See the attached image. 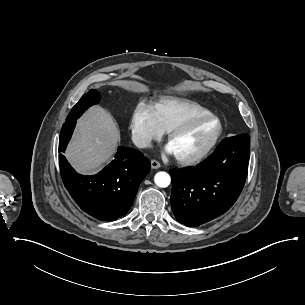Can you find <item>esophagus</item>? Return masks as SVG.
Returning <instances> with one entry per match:
<instances>
[{
	"mask_svg": "<svg viewBox=\"0 0 305 305\" xmlns=\"http://www.w3.org/2000/svg\"><path fill=\"white\" fill-rule=\"evenodd\" d=\"M151 167L153 169H158V168H160V163L156 160H151Z\"/></svg>",
	"mask_w": 305,
	"mask_h": 305,
	"instance_id": "esophagus-1",
	"label": "esophagus"
}]
</instances>
